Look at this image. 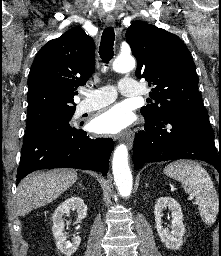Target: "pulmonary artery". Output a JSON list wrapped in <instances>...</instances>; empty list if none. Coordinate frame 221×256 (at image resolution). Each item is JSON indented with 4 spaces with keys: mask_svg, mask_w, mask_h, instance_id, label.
<instances>
[{
    "mask_svg": "<svg viewBox=\"0 0 221 256\" xmlns=\"http://www.w3.org/2000/svg\"><path fill=\"white\" fill-rule=\"evenodd\" d=\"M119 92L127 97L139 96L142 94L140 85L132 78H122L118 85ZM77 108L76 115L91 112L112 103L117 96V91L113 86H103L84 93Z\"/></svg>",
    "mask_w": 221,
    "mask_h": 256,
    "instance_id": "obj_1",
    "label": "pulmonary artery"
}]
</instances>
